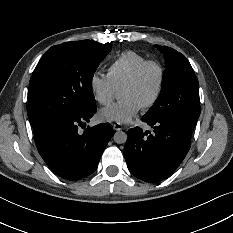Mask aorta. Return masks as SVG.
I'll return each instance as SVG.
<instances>
[{"label":"aorta","instance_id":"1","mask_svg":"<svg viewBox=\"0 0 233 233\" xmlns=\"http://www.w3.org/2000/svg\"><path fill=\"white\" fill-rule=\"evenodd\" d=\"M113 139L117 144H123L127 140V134L123 131H117L114 134Z\"/></svg>","mask_w":233,"mask_h":233}]
</instances>
